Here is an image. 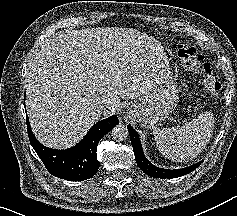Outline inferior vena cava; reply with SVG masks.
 <instances>
[{
    "mask_svg": "<svg viewBox=\"0 0 237 216\" xmlns=\"http://www.w3.org/2000/svg\"><path fill=\"white\" fill-rule=\"evenodd\" d=\"M99 106L102 110L109 109L115 111L119 107V101L112 102L109 99H102L99 101Z\"/></svg>",
    "mask_w": 237,
    "mask_h": 216,
    "instance_id": "inferior-vena-cava-1",
    "label": "inferior vena cava"
}]
</instances>
